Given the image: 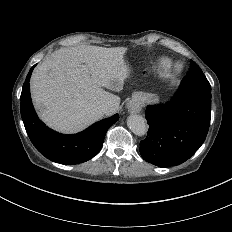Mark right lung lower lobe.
<instances>
[{"label": "right lung lower lobe", "mask_w": 232, "mask_h": 232, "mask_svg": "<svg viewBox=\"0 0 232 232\" xmlns=\"http://www.w3.org/2000/svg\"><path fill=\"white\" fill-rule=\"evenodd\" d=\"M35 66L26 77L20 98L21 116L31 142L42 155L56 163L75 165L90 160L100 151L108 128L118 121L119 115L103 119L74 135L51 130L38 119L32 105L29 81Z\"/></svg>", "instance_id": "right-lung-lower-lobe-1"}]
</instances>
